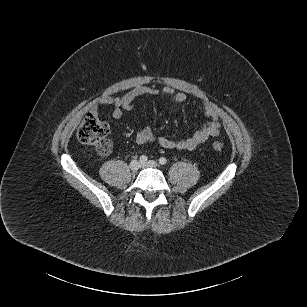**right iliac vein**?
<instances>
[{
  "instance_id": "63e3f726",
  "label": "right iliac vein",
  "mask_w": 307,
  "mask_h": 307,
  "mask_svg": "<svg viewBox=\"0 0 307 307\" xmlns=\"http://www.w3.org/2000/svg\"><path fill=\"white\" fill-rule=\"evenodd\" d=\"M130 169L135 172V171H138L139 168L141 167V164L138 160H132L130 162V165H129Z\"/></svg>"
}]
</instances>
